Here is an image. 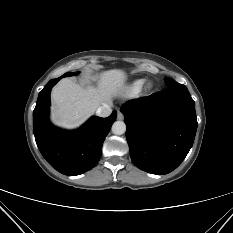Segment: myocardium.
<instances>
[{"label": "myocardium", "mask_w": 233, "mask_h": 233, "mask_svg": "<svg viewBox=\"0 0 233 233\" xmlns=\"http://www.w3.org/2000/svg\"><path fill=\"white\" fill-rule=\"evenodd\" d=\"M152 88V84L150 82L146 83L144 89L145 90H150Z\"/></svg>", "instance_id": "1"}]
</instances>
